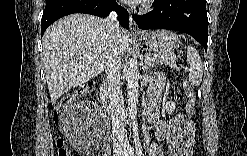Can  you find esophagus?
<instances>
[{
	"instance_id": "esophagus-1",
	"label": "esophagus",
	"mask_w": 247,
	"mask_h": 156,
	"mask_svg": "<svg viewBox=\"0 0 247 156\" xmlns=\"http://www.w3.org/2000/svg\"><path fill=\"white\" fill-rule=\"evenodd\" d=\"M130 31L132 33H140V30L136 24V22L133 19L132 12H130Z\"/></svg>"
}]
</instances>
